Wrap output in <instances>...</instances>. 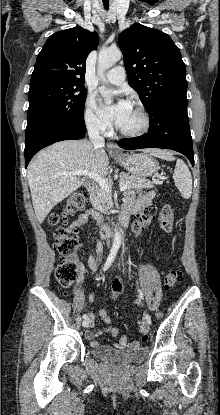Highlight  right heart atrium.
<instances>
[{"mask_svg": "<svg viewBox=\"0 0 220 415\" xmlns=\"http://www.w3.org/2000/svg\"><path fill=\"white\" fill-rule=\"evenodd\" d=\"M84 122L88 129L95 133L103 134L107 131V123L97 112L95 100L92 95H88L84 106Z\"/></svg>", "mask_w": 220, "mask_h": 415, "instance_id": "right-heart-atrium-1", "label": "right heart atrium"}]
</instances>
